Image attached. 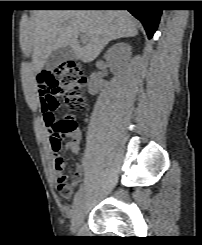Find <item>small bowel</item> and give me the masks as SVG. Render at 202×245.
<instances>
[{
    "mask_svg": "<svg viewBox=\"0 0 202 245\" xmlns=\"http://www.w3.org/2000/svg\"><path fill=\"white\" fill-rule=\"evenodd\" d=\"M37 95H38V98L40 97L49 98L51 103L55 106V109H56L57 99L54 93L46 92L41 86H38ZM65 135L70 138V141L66 144V148L68 150H71L75 154H78L79 143H80L81 135H82L80 128L75 126L72 130H70L69 132H66ZM51 149H52V155H53L52 172L54 174L55 181H56V189L62 192V194L65 197H67L71 195L73 189L81 181L82 175L85 170V165H78L75 169V172L71 180L68 182V176L65 173V169L67 165L66 159L61 154L60 148L55 149L53 148L51 144Z\"/></svg>",
    "mask_w": 202,
    "mask_h": 245,
    "instance_id": "c3829d8e",
    "label": "small bowel"
}]
</instances>
